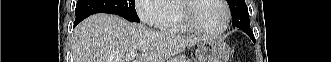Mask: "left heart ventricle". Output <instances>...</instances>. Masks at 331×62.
<instances>
[{
	"label": "left heart ventricle",
	"instance_id": "1",
	"mask_svg": "<svg viewBox=\"0 0 331 62\" xmlns=\"http://www.w3.org/2000/svg\"><path fill=\"white\" fill-rule=\"evenodd\" d=\"M191 15L204 30L214 32L224 24V9L217 0H196Z\"/></svg>",
	"mask_w": 331,
	"mask_h": 62
}]
</instances>
